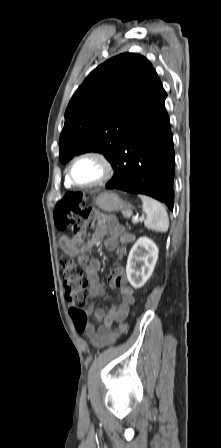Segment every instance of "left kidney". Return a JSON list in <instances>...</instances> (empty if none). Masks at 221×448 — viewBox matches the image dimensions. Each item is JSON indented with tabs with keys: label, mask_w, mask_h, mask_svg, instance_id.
<instances>
[{
	"label": "left kidney",
	"mask_w": 221,
	"mask_h": 448,
	"mask_svg": "<svg viewBox=\"0 0 221 448\" xmlns=\"http://www.w3.org/2000/svg\"><path fill=\"white\" fill-rule=\"evenodd\" d=\"M158 251L156 244L147 237H140L131 248L126 274L129 283L135 289L141 288L152 275L158 259Z\"/></svg>",
	"instance_id": "5707ae66"
}]
</instances>
